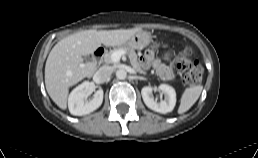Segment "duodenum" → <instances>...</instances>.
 Returning <instances> with one entry per match:
<instances>
[{
  "mask_svg": "<svg viewBox=\"0 0 258 158\" xmlns=\"http://www.w3.org/2000/svg\"><path fill=\"white\" fill-rule=\"evenodd\" d=\"M105 54V48L102 46H98L94 49L93 53H92V61L97 64L100 62V60L102 59V57Z\"/></svg>",
  "mask_w": 258,
  "mask_h": 158,
  "instance_id": "obj_1",
  "label": "duodenum"
}]
</instances>
